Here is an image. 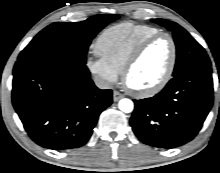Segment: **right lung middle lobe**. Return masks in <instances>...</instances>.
<instances>
[{
  "instance_id": "right-lung-middle-lobe-1",
  "label": "right lung middle lobe",
  "mask_w": 220,
  "mask_h": 173,
  "mask_svg": "<svg viewBox=\"0 0 220 173\" xmlns=\"http://www.w3.org/2000/svg\"><path fill=\"white\" fill-rule=\"evenodd\" d=\"M118 15H96L82 22H55L40 33L20 53L18 59L60 52L86 63V54L91 40Z\"/></svg>"
}]
</instances>
